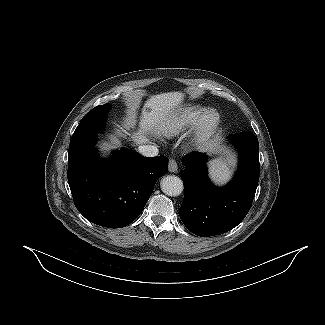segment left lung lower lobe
<instances>
[{
  "label": "left lung lower lobe",
  "instance_id": "left-lung-lower-lobe-1",
  "mask_svg": "<svg viewBox=\"0 0 325 325\" xmlns=\"http://www.w3.org/2000/svg\"><path fill=\"white\" fill-rule=\"evenodd\" d=\"M239 151V171L225 187H214L208 179L206 156L193 152L182 159L180 172L185 195L180 218L192 233L214 236L236 227L247 215L259 181V144L251 131L228 136Z\"/></svg>",
  "mask_w": 325,
  "mask_h": 325
}]
</instances>
